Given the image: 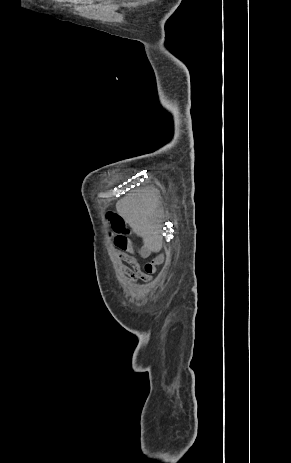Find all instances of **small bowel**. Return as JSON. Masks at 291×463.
I'll use <instances>...</instances> for the list:
<instances>
[{
  "label": "small bowel",
  "mask_w": 291,
  "mask_h": 463,
  "mask_svg": "<svg viewBox=\"0 0 291 463\" xmlns=\"http://www.w3.org/2000/svg\"><path fill=\"white\" fill-rule=\"evenodd\" d=\"M114 244L117 248V256L123 261L121 269L126 275L128 282L136 283L138 281L149 282L152 280V274L156 270V265L163 260L161 256L154 258L145 265V272L141 270L139 258H146L150 255L153 248L145 245L138 247L131 240L129 235L114 236ZM151 265V269L147 270L146 266Z\"/></svg>",
  "instance_id": "c3829d8e"
}]
</instances>
